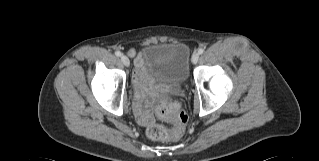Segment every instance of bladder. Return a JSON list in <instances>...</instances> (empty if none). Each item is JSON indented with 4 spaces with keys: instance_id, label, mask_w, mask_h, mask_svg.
Segmentation results:
<instances>
[{
    "instance_id": "1",
    "label": "bladder",
    "mask_w": 319,
    "mask_h": 161,
    "mask_svg": "<svg viewBox=\"0 0 319 161\" xmlns=\"http://www.w3.org/2000/svg\"><path fill=\"white\" fill-rule=\"evenodd\" d=\"M190 56L189 47L184 43L146 44L139 53L144 75L169 84L188 80Z\"/></svg>"
}]
</instances>
